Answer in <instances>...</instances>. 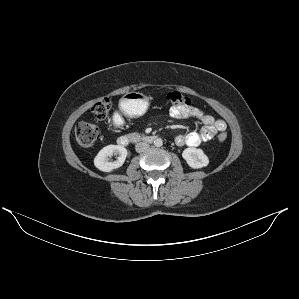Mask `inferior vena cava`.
Segmentation results:
<instances>
[{
    "instance_id": "1",
    "label": "inferior vena cava",
    "mask_w": 299,
    "mask_h": 299,
    "mask_svg": "<svg viewBox=\"0 0 299 299\" xmlns=\"http://www.w3.org/2000/svg\"><path fill=\"white\" fill-rule=\"evenodd\" d=\"M149 148V144L146 142H139L135 146V150L138 153L144 152Z\"/></svg>"
}]
</instances>
